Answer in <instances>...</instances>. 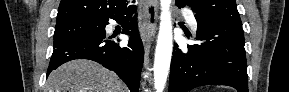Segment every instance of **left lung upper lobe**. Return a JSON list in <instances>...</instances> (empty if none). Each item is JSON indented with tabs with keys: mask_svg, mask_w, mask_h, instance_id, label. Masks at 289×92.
Here are the masks:
<instances>
[{
	"mask_svg": "<svg viewBox=\"0 0 289 92\" xmlns=\"http://www.w3.org/2000/svg\"><path fill=\"white\" fill-rule=\"evenodd\" d=\"M189 6L201 17L241 26L235 0H176Z\"/></svg>",
	"mask_w": 289,
	"mask_h": 92,
	"instance_id": "5c2ea615",
	"label": "left lung upper lobe"
}]
</instances>
